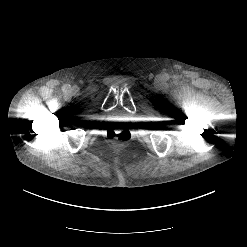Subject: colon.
<instances>
[{
  "label": "colon",
  "mask_w": 247,
  "mask_h": 247,
  "mask_svg": "<svg viewBox=\"0 0 247 247\" xmlns=\"http://www.w3.org/2000/svg\"><path fill=\"white\" fill-rule=\"evenodd\" d=\"M128 137H129V132L127 130L112 131L109 134V138L116 141H124L128 139Z\"/></svg>",
  "instance_id": "1"
}]
</instances>
